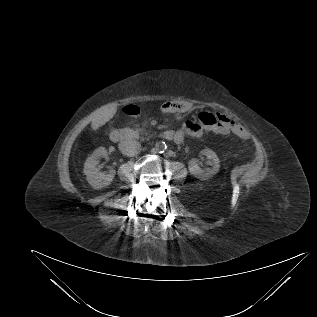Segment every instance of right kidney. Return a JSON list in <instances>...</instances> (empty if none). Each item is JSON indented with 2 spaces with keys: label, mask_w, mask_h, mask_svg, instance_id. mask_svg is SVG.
<instances>
[{
  "label": "right kidney",
  "mask_w": 317,
  "mask_h": 317,
  "mask_svg": "<svg viewBox=\"0 0 317 317\" xmlns=\"http://www.w3.org/2000/svg\"><path fill=\"white\" fill-rule=\"evenodd\" d=\"M105 157H107V150L104 147H99L85 161L84 174L86 175V180L94 189L108 186L116 174L112 168H109L107 173L100 172L97 165L99 160Z\"/></svg>",
  "instance_id": "obj_1"
}]
</instances>
